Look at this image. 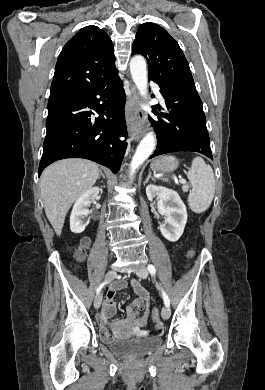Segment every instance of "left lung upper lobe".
<instances>
[{
  "label": "left lung upper lobe",
  "mask_w": 265,
  "mask_h": 390,
  "mask_svg": "<svg viewBox=\"0 0 265 390\" xmlns=\"http://www.w3.org/2000/svg\"><path fill=\"white\" fill-rule=\"evenodd\" d=\"M141 54L149 65L148 77L161 85L194 84L189 64L178 43L154 23L139 26L132 55Z\"/></svg>",
  "instance_id": "left-lung-upper-lobe-1"
}]
</instances>
